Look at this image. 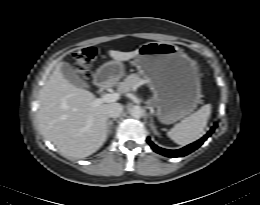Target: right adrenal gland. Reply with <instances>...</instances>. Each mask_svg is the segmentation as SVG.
Masks as SVG:
<instances>
[{
	"label": "right adrenal gland",
	"instance_id": "1",
	"mask_svg": "<svg viewBox=\"0 0 260 205\" xmlns=\"http://www.w3.org/2000/svg\"><path fill=\"white\" fill-rule=\"evenodd\" d=\"M115 120L116 119H112V120L108 121V128H107L108 134L112 133V125H113V121H115Z\"/></svg>",
	"mask_w": 260,
	"mask_h": 205
}]
</instances>
